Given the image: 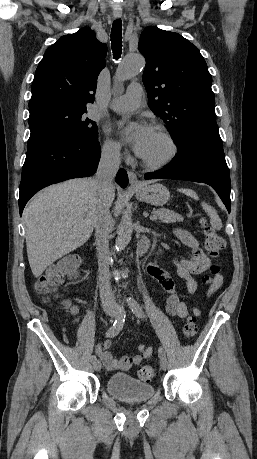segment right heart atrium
Returning <instances> with one entry per match:
<instances>
[{
  "instance_id": "1",
  "label": "right heart atrium",
  "mask_w": 257,
  "mask_h": 459,
  "mask_svg": "<svg viewBox=\"0 0 257 459\" xmlns=\"http://www.w3.org/2000/svg\"><path fill=\"white\" fill-rule=\"evenodd\" d=\"M102 155L109 161L118 162L122 159L124 151L118 141L106 136L102 145Z\"/></svg>"
}]
</instances>
